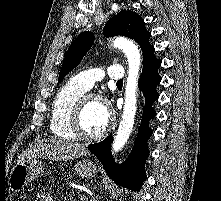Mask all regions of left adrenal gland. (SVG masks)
<instances>
[{"label": "left adrenal gland", "mask_w": 221, "mask_h": 201, "mask_svg": "<svg viewBox=\"0 0 221 201\" xmlns=\"http://www.w3.org/2000/svg\"><path fill=\"white\" fill-rule=\"evenodd\" d=\"M97 197H93L90 201H96Z\"/></svg>", "instance_id": "left-adrenal-gland-1"}]
</instances>
